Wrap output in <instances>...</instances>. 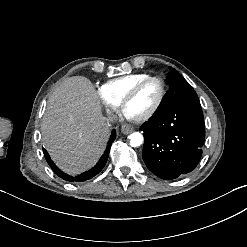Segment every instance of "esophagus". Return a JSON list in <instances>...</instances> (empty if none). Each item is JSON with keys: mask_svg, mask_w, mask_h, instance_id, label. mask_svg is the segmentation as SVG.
Listing matches in <instances>:
<instances>
[{"mask_svg": "<svg viewBox=\"0 0 247 247\" xmlns=\"http://www.w3.org/2000/svg\"><path fill=\"white\" fill-rule=\"evenodd\" d=\"M133 127L131 125H128V124H124L121 126V132L123 134H129L133 131Z\"/></svg>", "mask_w": 247, "mask_h": 247, "instance_id": "esophagus-1", "label": "esophagus"}]
</instances>
